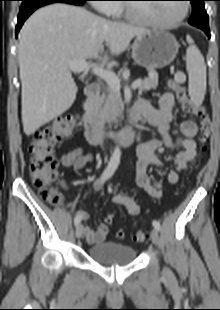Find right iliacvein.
<instances>
[{"mask_svg":"<svg viewBox=\"0 0 220 310\" xmlns=\"http://www.w3.org/2000/svg\"><path fill=\"white\" fill-rule=\"evenodd\" d=\"M83 232H84V228H83V225L82 224H78L76 226V230H75V235L76 237L79 239L82 237L83 235Z\"/></svg>","mask_w":220,"mask_h":310,"instance_id":"63e3f726","label":"right iliac vein"}]
</instances>
